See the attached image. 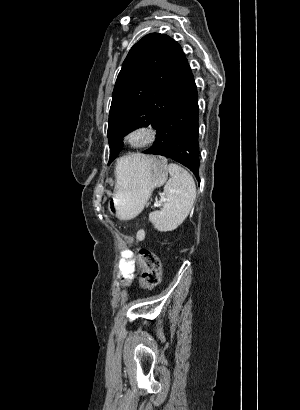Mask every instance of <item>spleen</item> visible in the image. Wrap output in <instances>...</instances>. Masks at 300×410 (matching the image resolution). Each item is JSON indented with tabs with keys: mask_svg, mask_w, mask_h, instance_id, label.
<instances>
[{
	"mask_svg": "<svg viewBox=\"0 0 300 410\" xmlns=\"http://www.w3.org/2000/svg\"><path fill=\"white\" fill-rule=\"evenodd\" d=\"M129 167L121 158L116 165L117 180L121 172ZM171 178L164 186L165 202L160 211L149 214V221L162 232L176 229L187 218L196 198V187L192 176L180 165L170 163Z\"/></svg>",
	"mask_w": 300,
	"mask_h": 410,
	"instance_id": "obj_1",
	"label": "spleen"
}]
</instances>
